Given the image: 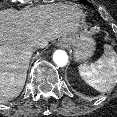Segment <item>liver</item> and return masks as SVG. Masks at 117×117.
I'll return each mask as SVG.
<instances>
[{"label":"liver","instance_id":"obj_1","mask_svg":"<svg viewBox=\"0 0 117 117\" xmlns=\"http://www.w3.org/2000/svg\"><path fill=\"white\" fill-rule=\"evenodd\" d=\"M82 20L79 7L64 3L0 11V103L23 90L33 51L77 33Z\"/></svg>","mask_w":117,"mask_h":117}]
</instances>
